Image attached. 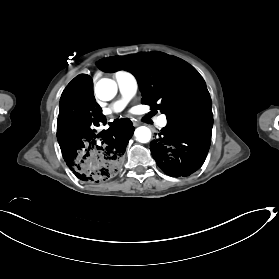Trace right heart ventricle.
<instances>
[{
	"label": "right heart ventricle",
	"mask_w": 279,
	"mask_h": 279,
	"mask_svg": "<svg viewBox=\"0 0 279 279\" xmlns=\"http://www.w3.org/2000/svg\"><path fill=\"white\" fill-rule=\"evenodd\" d=\"M123 72H126V71H123ZM126 73H128V74H130V75H132L131 73H129V72H126ZM133 76V75H132Z\"/></svg>",
	"instance_id": "obj_1"
}]
</instances>
